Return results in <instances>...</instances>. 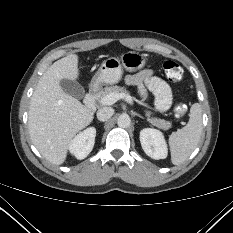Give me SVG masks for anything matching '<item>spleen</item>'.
<instances>
[{"mask_svg": "<svg viewBox=\"0 0 233 233\" xmlns=\"http://www.w3.org/2000/svg\"><path fill=\"white\" fill-rule=\"evenodd\" d=\"M202 129L201 105L195 103L191 106L187 125L169 137L171 161L174 165L183 163L190 156L200 141Z\"/></svg>", "mask_w": 233, "mask_h": 233, "instance_id": "spleen-1", "label": "spleen"}]
</instances>
